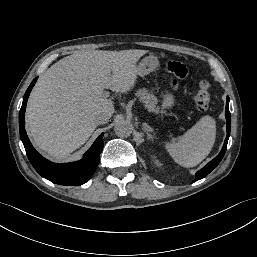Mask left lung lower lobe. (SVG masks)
Masks as SVG:
<instances>
[{"label": "left lung lower lobe", "instance_id": "left-lung-lower-lobe-1", "mask_svg": "<svg viewBox=\"0 0 257 257\" xmlns=\"http://www.w3.org/2000/svg\"><path fill=\"white\" fill-rule=\"evenodd\" d=\"M225 116H226V120H227V125H226L227 136H226L223 148L216 158H214L204 168H202L201 170H199L196 173L195 181L200 180V179L204 178L206 175H208L220 163V161L222 160V158L226 152L227 143H228V139H229V135H230V129H231V116H230V112H229V97H227Z\"/></svg>", "mask_w": 257, "mask_h": 257}]
</instances>
